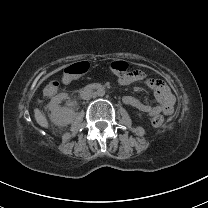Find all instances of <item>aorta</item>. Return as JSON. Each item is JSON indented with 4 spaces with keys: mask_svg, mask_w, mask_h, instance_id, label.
Wrapping results in <instances>:
<instances>
[{
    "mask_svg": "<svg viewBox=\"0 0 208 208\" xmlns=\"http://www.w3.org/2000/svg\"><path fill=\"white\" fill-rule=\"evenodd\" d=\"M96 94H97V96L102 97V96L105 95V90H103V89H98L97 92H96Z\"/></svg>",
    "mask_w": 208,
    "mask_h": 208,
    "instance_id": "aorta-1",
    "label": "aorta"
}]
</instances>
